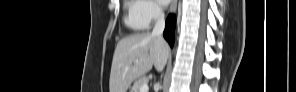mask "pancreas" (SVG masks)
Wrapping results in <instances>:
<instances>
[{"mask_svg":"<svg viewBox=\"0 0 296 92\" xmlns=\"http://www.w3.org/2000/svg\"><path fill=\"white\" fill-rule=\"evenodd\" d=\"M148 82L147 77H140L138 80H136L131 88V92H140V88L143 84Z\"/></svg>","mask_w":296,"mask_h":92,"instance_id":"obj_1","label":"pancreas"}]
</instances>
